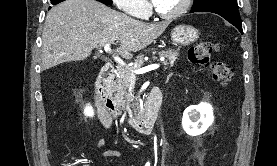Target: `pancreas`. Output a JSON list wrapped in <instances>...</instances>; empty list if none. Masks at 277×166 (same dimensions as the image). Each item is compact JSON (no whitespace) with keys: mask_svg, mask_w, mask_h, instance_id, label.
Returning a JSON list of instances; mask_svg holds the SVG:
<instances>
[{"mask_svg":"<svg viewBox=\"0 0 277 166\" xmlns=\"http://www.w3.org/2000/svg\"><path fill=\"white\" fill-rule=\"evenodd\" d=\"M158 55L166 58L163 62L165 67L173 66L179 56V49L161 50L158 51ZM143 63V55H140L135 59V63L132 67L118 66L117 79L112 84L114 91L113 98L116 101L118 108L128 111L131 115L134 113L135 116L140 112V106L138 104H130L134 101V96L128 93V89L130 86V78L135 75L132 70L139 69Z\"/></svg>","mask_w":277,"mask_h":166,"instance_id":"cf45deb5","label":"pancreas"}]
</instances>
